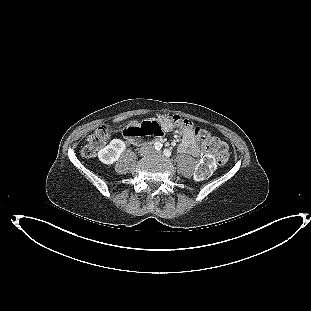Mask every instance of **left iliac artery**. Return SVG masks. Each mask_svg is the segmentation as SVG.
Segmentation results:
<instances>
[{
  "mask_svg": "<svg viewBox=\"0 0 311 311\" xmlns=\"http://www.w3.org/2000/svg\"><path fill=\"white\" fill-rule=\"evenodd\" d=\"M163 153H164V155H165L166 157H170V156H171V152H170V150H168V149H165V150L163 151Z\"/></svg>",
  "mask_w": 311,
  "mask_h": 311,
  "instance_id": "44dca946",
  "label": "left iliac artery"
}]
</instances>
